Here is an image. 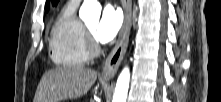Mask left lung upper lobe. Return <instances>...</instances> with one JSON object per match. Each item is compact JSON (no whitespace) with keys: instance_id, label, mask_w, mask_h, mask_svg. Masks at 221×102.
<instances>
[{"instance_id":"5c2ea615","label":"left lung upper lobe","mask_w":221,"mask_h":102,"mask_svg":"<svg viewBox=\"0 0 221 102\" xmlns=\"http://www.w3.org/2000/svg\"><path fill=\"white\" fill-rule=\"evenodd\" d=\"M58 2H59V0H52L53 5H57Z\"/></svg>"}]
</instances>
